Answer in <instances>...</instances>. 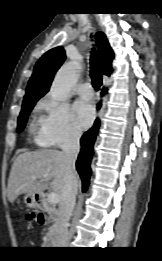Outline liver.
<instances>
[{
  "mask_svg": "<svg viewBox=\"0 0 162 261\" xmlns=\"http://www.w3.org/2000/svg\"><path fill=\"white\" fill-rule=\"evenodd\" d=\"M67 166L64 153L55 149L25 151L14 160L7 188L8 200L13 203L20 194H41L52 180V190L61 201L66 183ZM35 177V180H32ZM79 186V178L75 172Z\"/></svg>",
  "mask_w": 162,
  "mask_h": 261,
  "instance_id": "1",
  "label": "liver"
}]
</instances>
